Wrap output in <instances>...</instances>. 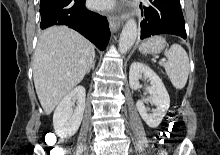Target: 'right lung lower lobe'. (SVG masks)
<instances>
[{
  "mask_svg": "<svg viewBox=\"0 0 220 155\" xmlns=\"http://www.w3.org/2000/svg\"><path fill=\"white\" fill-rule=\"evenodd\" d=\"M41 29L52 25H67L105 50L110 38L106 17L85 8V0H53L40 6Z\"/></svg>",
  "mask_w": 220,
  "mask_h": 155,
  "instance_id": "right-lung-lower-lobe-1",
  "label": "right lung lower lobe"
}]
</instances>
